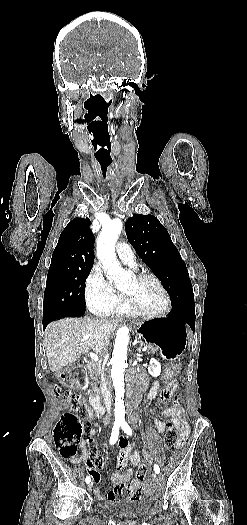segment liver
I'll return each instance as SVG.
<instances>
[{"label":"liver","instance_id":"liver-1","mask_svg":"<svg viewBox=\"0 0 247 525\" xmlns=\"http://www.w3.org/2000/svg\"><path fill=\"white\" fill-rule=\"evenodd\" d=\"M119 321L109 319H59L45 329L43 345L50 371H61L82 355L106 349Z\"/></svg>","mask_w":247,"mask_h":525}]
</instances>
